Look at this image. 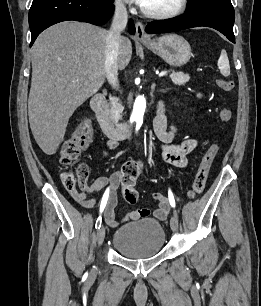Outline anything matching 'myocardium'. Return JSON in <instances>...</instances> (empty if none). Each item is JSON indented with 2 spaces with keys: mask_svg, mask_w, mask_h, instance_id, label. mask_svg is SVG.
Returning <instances> with one entry per match:
<instances>
[{
  "mask_svg": "<svg viewBox=\"0 0 261 306\" xmlns=\"http://www.w3.org/2000/svg\"><path fill=\"white\" fill-rule=\"evenodd\" d=\"M187 5H188V0H179L178 5L174 9L169 11H161V12L150 11L144 8L143 6H141V12L149 18L170 19L181 15L186 10Z\"/></svg>",
  "mask_w": 261,
  "mask_h": 306,
  "instance_id": "myocardium-1",
  "label": "myocardium"
}]
</instances>
